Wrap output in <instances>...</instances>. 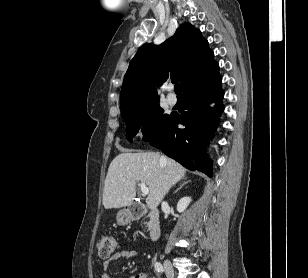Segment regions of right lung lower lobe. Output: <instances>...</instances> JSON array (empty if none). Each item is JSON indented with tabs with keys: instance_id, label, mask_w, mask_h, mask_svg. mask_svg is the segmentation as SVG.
I'll list each match as a JSON object with an SVG mask.
<instances>
[{
	"instance_id": "obj_1",
	"label": "right lung lower lobe",
	"mask_w": 308,
	"mask_h": 278,
	"mask_svg": "<svg viewBox=\"0 0 308 278\" xmlns=\"http://www.w3.org/2000/svg\"><path fill=\"white\" fill-rule=\"evenodd\" d=\"M221 82L222 78L218 72L187 90L183 95L184 109L187 111L180 116L172 114L162 132L149 141L184 167L199 170L209 177L212 176V163L206 157V144L209 136H213V131L218 127L219 114L224 110ZM212 102L215 106L210 108ZM178 124L184 125L185 128H178Z\"/></svg>"
}]
</instances>
